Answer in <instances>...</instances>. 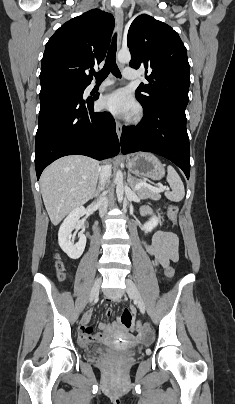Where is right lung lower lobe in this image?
Here are the masks:
<instances>
[{
	"label": "right lung lower lobe",
	"mask_w": 235,
	"mask_h": 404,
	"mask_svg": "<svg viewBox=\"0 0 235 404\" xmlns=\"http://www.w3.org/2000/svg\"><path fill=\"white\" fill-rule=\"evenodd\" d=\"M40 105L35 142L37 179L46 166L65 155L102 160L119 153L115 121L108 112H94L93 100L53 96L40 100Z\"/></svg>",
	"instance_id": "98d812e1"
}]
</instances>
